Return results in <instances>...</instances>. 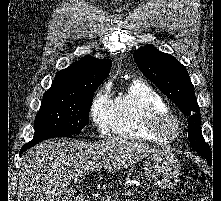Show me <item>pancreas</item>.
<instances>
[{
  "instance_id": "cf45deb5",
  "label": "pancreas",
  "mask_w": 221,
  "mask_h": 201,
  "mask_svg": "<svg viewBox=\"0 0 221 201\" xmlns=\"http://www.w3.org/2000/svg\"><path fill=\"white\" fill-rule=\"evenodd\" d=\"M106 197H113L112 195H107ZM106 198H103L102 201H105Z\"/></svg>"
}]
</instances>
